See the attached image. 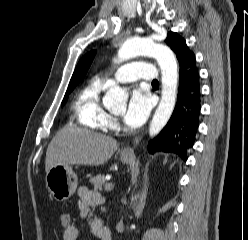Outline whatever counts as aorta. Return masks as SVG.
<instances>
[{"label":"aorta","instance_id":"obj_1","mask_svg":"<svg viewBox=\"0 0 248 240\" xmlns=\"http://www.w3.org/2000/svg\"><path fill=\"white\" fill-rule=\"evenodd\" d=\"M137 56L155 58L162 74L161 100L149 128V134L153 137L164 128L175 108L178 87L177 61L168 47L155 43L150 38H134L121 46L118 51V62ZM127 97V93L121 87L111 84L103 98V103L108 107L124 105Z\"/></svg>","mask_w":248,"mask_h":240}]
</instances>
